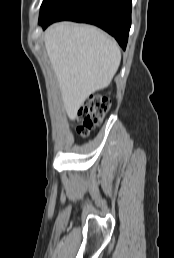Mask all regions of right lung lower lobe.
Wrapping results in <instances>:
<instances>
[{
    "instance_id": "right-lung-lower-lobe-1",
    "label": "right lung lower lobe",
    "mask_w": 174,
    "mask_h": 258,
    "mask_svg": "<svg viewBox=\"0 0 174 258\" xmlns=\"http://www.w3.org/2000/svg\"><path fill=\"white\" fill-rule=\"evenodd\" d=\"M71 20L93 24L112 35L125 50L131 26V0H64L40 24Z\"/></svg>"
}]
</instances>
